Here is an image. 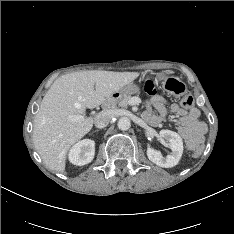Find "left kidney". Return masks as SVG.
Instances as JSON below:
<instances>
[{"instance_id":"obj_1","label":"left kidney","mask_w":234,"mask_h":234,"mask_svg":"<svg viewBox=\"0 0 234 234\" xmlns=\"http://www.w3.org/2000/svg\"><path fill=\"white\" fill-rule=\"evenodd\" d=\"M160 138L169 142L172 150L170 155L164 157L160 151L155 150L152 147L147 148V156L150 161L156 165L164 168H171L178 164L183 153V141L182 138L174 131L161 130L159 132Z\"/></svg>"}]
</instances>
